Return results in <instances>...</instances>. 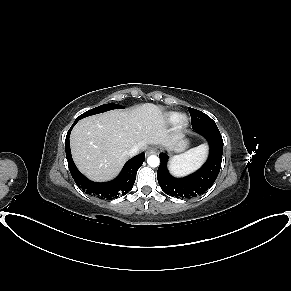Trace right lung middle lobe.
Returning <instances> with one entry per match:
<instances>
[{
  "label": "right lung middle lobe",
  "mask_w": 291,
  "mask_h": 291,
  "mask_svg": "<svg viewBox=\"0 0 291 291\" xmlns=\"http://www.w3.org/2000/svg\"><path fill=\"white\" fill-rule=\"evenodd\" d=\"M112 109H123V106L118 105V104H114V103L104 104V105L98 106L94 109H91V110L83 113L82 115L77 117L75 121H78V120L85 118L87 116H90V115L106 112V111L112 110Z\"/></svg>",
  "instance_id": "right-lung-middle-lobe-1"
}]
</instances>
